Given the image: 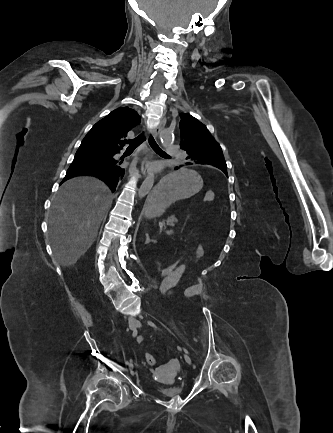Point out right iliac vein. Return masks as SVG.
I'll return each mask as SVG.
<instances>
[{
	"label": "right iliac vein",
	"instance_id": "right-iliac-vein-1",
	"mask_svg": "<svg viewBox=\"0 0 333 433\" xmlns=\"http://www.w3.org/2000/svg\"><path fill=\"white\" fill-rule=\"evenodd\" d=\"M129 326H130V329H131V330H134V329H135V327H136V325H135V324H133V323H132V324H130ZM129 369H130V370H132V369H133V364H130V365H129Z\"/></svg>",
	"mask_w": 333,
	"mask_h": 433
}]
</instances>
